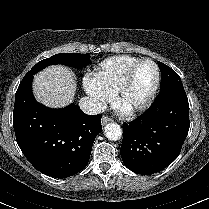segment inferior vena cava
I'll return each instance as SVG.
<instances>
[{
    "label": "inferior vena cava",
    "instance_id": "602c4592",
    "mask_svg": "<svg viewBox=\"0 0 209 209\" xmlns=\"http://www.w3.org/2000/svg\"><path fill=\"white\" fill-rule=\"evenodd\" d=\"M79 107L88 115H96L104 112L105 106L96 98L83 97L79 101Z\"/></svg>",
    "mask_w": 209,
    "mask_h": 209
}]
</instances>
